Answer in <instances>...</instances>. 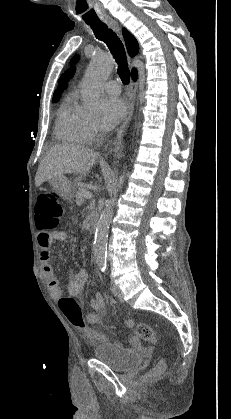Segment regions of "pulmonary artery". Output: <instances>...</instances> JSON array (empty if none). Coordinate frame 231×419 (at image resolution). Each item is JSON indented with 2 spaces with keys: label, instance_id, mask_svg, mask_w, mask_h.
<instances>
[{
  "label": "pulmonary artery",
  "instance_id": "obj_1",
  "mask_svg": "<svg viewBox=\"0 0 231 419\" xmlns=\"http://www.w3.org/2000/svg\"><path fill=\"white\" fill-rule=\"evenodd\" d=\"M104 89L111 95H118L121 91L120 85L116 81H107L104 84Z\"/></svg>",
  "mask_w": 231,
  "mask_h": 419
}]
</instances>
